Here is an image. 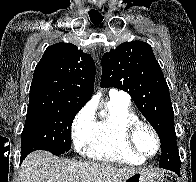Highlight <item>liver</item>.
Wrapping results in <instances>:
<instances>
[{
  "label": "liver",
  "mask_w": 196,
  "mask_h": 182,
  "mask_svg": "<svg viewBox=\"0 0 196 182\" xmlns=\"http://www.w3.org/2000/svg\"><path fill=\"white\" fill-rule=\"evenodd\" d=\"M139 169L103 163L60 159L45 151L29 154L24 160L21 182H125Z\"/></svg>",
  "instance_id": "6515ba94"
}]
</instances>
